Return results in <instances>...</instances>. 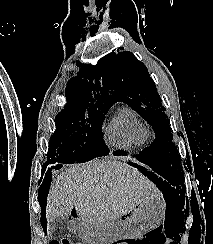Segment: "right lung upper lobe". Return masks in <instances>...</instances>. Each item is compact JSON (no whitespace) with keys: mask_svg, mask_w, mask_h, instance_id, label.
Masks as SVG:
<instances>
[{"mask_svg":"<svg viewBox=\"0 0 213 244\" xmlns=\"http://www.w3.org/2000/svg\"><path fill=\"white\" fill-rule=\"evenodd\" d=\"M96 68L87 66L81 68L77 76L72 78L66 88L67 104L64 108L83 107L92 110L108 111L110 105L100 97L93 83Z\"/></svg>","mask_w":213,"mask_h":244,"instance_id":"cb5924a9","label":"right lung upper lobe"}]
</instances>
